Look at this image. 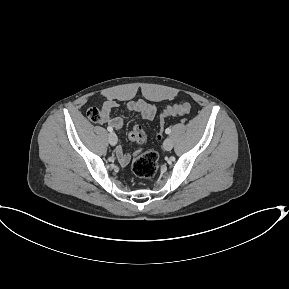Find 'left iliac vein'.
<instances>
[{"instance_id":"4c4485c4","label":"left iliac vein","mask_w":289,"mask_h":289,"mask_svg":"<svg viewBox=\"0 0 289 289\" xmlns=\"http://www.w3.org/2000/svg\"><path fill=\"white\" fill-rule=\"evenodd\" d=\"M163 147L167 151L171 150L173 148V141L170 138L165 139Z\"/></svg>"}]
</instances>
